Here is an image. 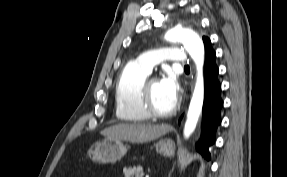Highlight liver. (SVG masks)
<instances>
[{"mask_svg":"<svg viewBox=\"0 0 287 177\" xmlns=\"http://www.w3.org/2000/svg\"><path fill=\"white\" fill-rule=\"evenodd\" d=\"M171 130L172 127L167 124L153 125L122 123L102 130L101 135L108 139H118L133 143H144L155 140Z\"/></svg>","mask_w":287,"mask_h":177,"instance_id":"obj_1","label":"liver"}]
</instances>
